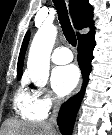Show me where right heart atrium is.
<instances>
[{"label": "right heart atrium", "instance_id": "right-heart-atrium-1", "mask_svg": "<svg viewBox=\"0 0 112 135\" xmlns=\"http://www.w3.org/2000/svg\"><path fill=\"white\" fill-rule=\"evenodd\" d=\"M34 93L38 106L46 113L58 102L56 97L47 89H37Z\"/></svg>", "mask_w": 112, "mask_h": 135}]
</instances>
